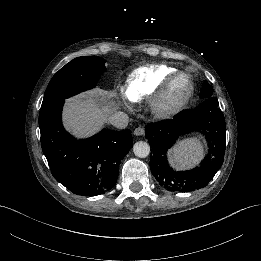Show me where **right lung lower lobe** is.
Masks as SVG:
<instances>
[{"label": "right lung lower lobe", "instance_id": "right-lung-lower-lobe-1", "mask_svg": "<svg viewBox=\"0 0 261 261\" xmlns=\"http://www.w3.org/2000/svg\"><path fill=\"white\" fill-rule=\"evenodd\" d=\"M65 99L43 105L41 146L54 178L76 195L97 196L117 182L118 165L133 146L130 130L103 129L77 140L62 125Z\"/></svg>", "mask_w": 261, "mask_h": 261}]
</instances>
